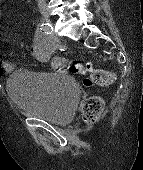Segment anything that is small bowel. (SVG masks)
Wrapping results in <instances>:
<instances>
[{
    "mask_svg": "<svg viewBox=\"0 0 143 170\" xmlns=\"http://www.w3.org/2000/svg\"><path fill=\"white\" fill-rule=\"evenodd\" d=\"M1 2V0H0ZM3 13L0 10V21ZM32 54L40 61H47L50 58V52L40 47L39 44L33 43L30 47ZM57 60L53 61L52 66L57 69ZM13 71V65L9 61H0V77L7 75Z\"/></svg>",
    "mask_w": 143,
    "mask_h": 170,
    "instance_id": "c3829d8e",
    "label": "small bowel"
}]
</instances>
